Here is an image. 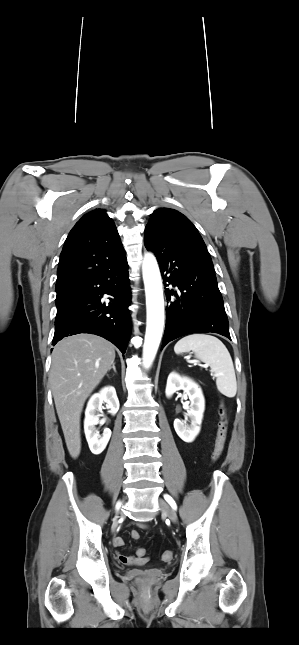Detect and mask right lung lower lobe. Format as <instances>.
Here are the masks:
<instances>
[{
  "label": "right lung lower lobe",
  "instance_id": "1",
  "mask_svg": "<svg viewBox=\"0 0 299 645\" xmlns=\"http://www.w3.org/2000/svg\"><path fill=\"white\" fill-rule=\"evenodd\" d=\"M103 294L111 295L108 306ZM130 285L126 257L117 265L98 272L72 288V294L57 307L52 345L79 333L99 335L124 354L130 337Z\"/></svg>",
  "mask_w": 299,
  "mask_h": 645
}]
</instances>
